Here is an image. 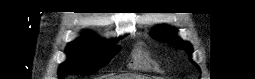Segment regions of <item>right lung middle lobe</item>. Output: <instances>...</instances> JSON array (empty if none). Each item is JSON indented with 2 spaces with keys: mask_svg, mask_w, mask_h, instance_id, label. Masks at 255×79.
<instances>
[{
  "mask_svg": "<svg viewBox=\"0 0 255 79\" xmlns=\"http://www.w3.org/2000/svg\"><path fill=\"white\" fill-rule=\"evenodd\" d=\"M116 40L115 42H117ZM119 48L97 38L81 37L66 49L68 60L61 64L59 78L68 74H91L107 65Z\"/></svg>",
  "mask_w": 255,
  "mask_h": 79,
  "instance_id": "1",
  "label": "right lung middle lobe"
}]
</instances>
